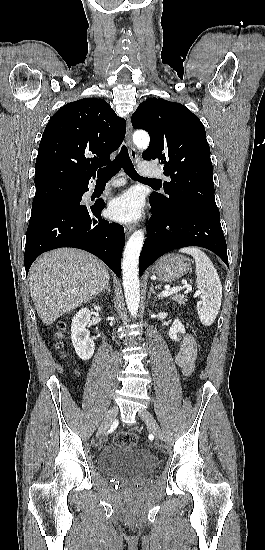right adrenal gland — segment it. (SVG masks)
Segmentation results:
<instances>
[{
  "instance_id": "obj_1",
  "label": "right adrenal gland",
  "mask_w": 265,
  "mask_h": 550,
  "mask_svg": "<svg viewBox=\"0 0 265 550\" xmlns=\"http://www.w3.org/2000/svg\"><path fill=\"white\" fill-rule=\"evenodd\" d=\"M102 291H103L104 293H105V291H107L108 293H110V292H111V290H110V286H109V282H108V283L106 284V286H105V287L103 288V290H102Z\"/></svg>"
}]
</instances>
